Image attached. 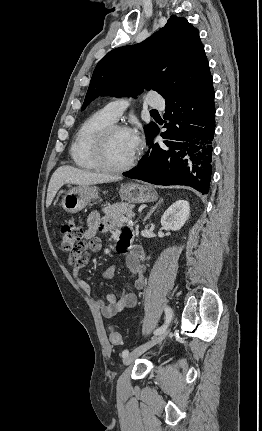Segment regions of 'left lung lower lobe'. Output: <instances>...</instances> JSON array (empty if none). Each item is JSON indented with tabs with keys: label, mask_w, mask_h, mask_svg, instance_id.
Instances as JSON below:
<instances>
[{
	"label": "left lung lower lobe",
	"mask_w": 262,
	"mask_h": 431,
	"mask_svg": "<svg viewBox=\"0 0 262 431\" xmlns=\"http://www.w3.org/2000/svg\"><path fill=\"white\" fill-rule=\"evenodd\" d=\"M167 130L164 141L152 143L156 125L147 140L150 149L126 177L156 185H184L208 193L212 173V140L215 130V104L212 77L189 93L165 100Z\"/></svg>",
	"instance_id": "obj_1"
}]
</instances>
